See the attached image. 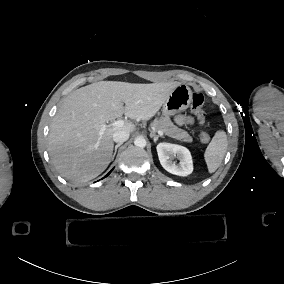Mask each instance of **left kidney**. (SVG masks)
<instances>
[{"label": "left kidney", "mask_w": 284, "mask_h": 284, "mask_svg": "<svg viewBox=\"0 0 284 284\" xmlns=\"http://www.w3.org/2000/svg\"><path fill=\"white\" fill-rule=\"evenodd\" d=\"M157 153L162 167L169 173L179 176H187L192 173V156L186 147L171 143H159ZM175 156L180 160L179 164L172 161Z\"/></svg>", "instance_id": "5707ae66"}]
</instances>
